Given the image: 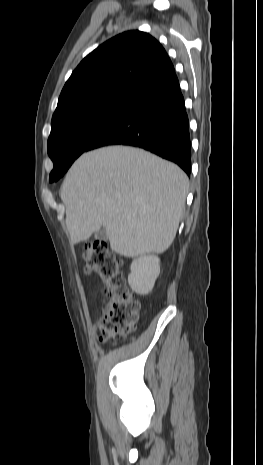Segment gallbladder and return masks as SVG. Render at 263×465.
Returning <instances> with one entry per match:
<instances>
[{
    "label": "gallbladder",
    "instance_id": "obj_1",
    "mask_svg": "<svg viewBox=\"0 0 263 465\" xmlns=\"http://www.w3.org/2000/svg\"><path fill=\"white\" fill-rule=\"evenodd\" d=\"M94 237L95 239L99 240H107L108 237L105 228H101L100 230L96 231Z\"/></svg>",
    "mask_w": 263,
    "mask_h": 465
}]
</instances>
